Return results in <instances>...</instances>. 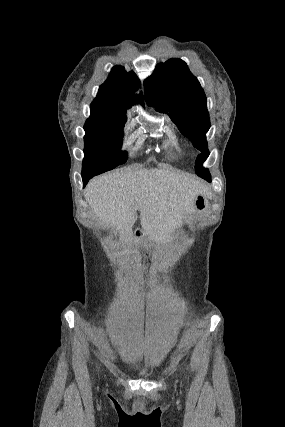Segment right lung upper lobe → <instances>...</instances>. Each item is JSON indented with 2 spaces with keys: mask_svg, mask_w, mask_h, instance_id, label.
Wrapping results in <instances>:
<instances>
[{
  "mask_svg": "<svg viewBox=\"0 0 285 427\" xmlns=\"http://www.w3.org/2000/svg\"><path fill=\"white\" fill-rule=\"evenodd\" d=\"M139 87L140 81L133 71L127 73L121 66L113 67L90 106L91 115L85 126L125 123L127 109L144 100L141 94H134Z\"/></svg>",
  "mask_w": 285,
  "mask_h": 427,
  "instance_id": "right-lung-upper-lobe-1",
  "label": "right lung upper lobe"
}]
</instances>
